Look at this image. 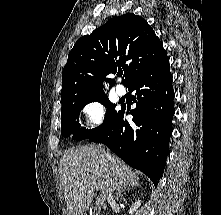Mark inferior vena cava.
I'll list each match as a JSON object with an SVG mask.
<instances>
[{
	"label": "inferior vena cava",
	"instance_id": "602c4592",
	"mask_svg": "<svg viewBox=\"0 0 221 215\" xmlns=\"http://www.w3.org/2000/svg\"><path fill=\"white\" fill-rule=\"evenodd\" d=\"M107 156L110 158L109 155H107ZM107 201H108L109 204H111V203L114 202V197H113L112 191L109 193V196H108V198H107Z\"/></svg>",
	"mask_w": 221,
	"mask_h": 215
}]
</instances>
